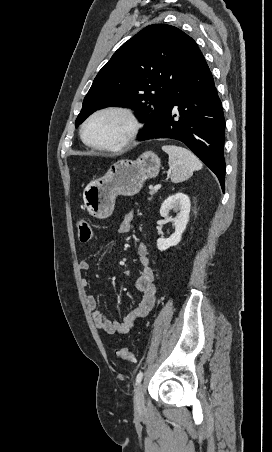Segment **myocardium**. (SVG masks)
Segmentation results:
<instances>
[{"label":"myocardium","mask_w":272,"mask_h":452,"mask_svg":"<svg viewBox=\"0 0 272 452\" xmlns=\"http://www.w3.org/2000/svg\"><path fill=\"white\" fill-rule=\"evenodd\" d=\"M107 113H116L120 114L126 118L129 124V128L125 137L117 144L105 145V144H97L92 143L86 138V129L89 123L96 117L107 114ZM140 130V122L135 116V114L128 108L122 106H106L100 109H97L93 113H91L86 120L83 122L80 130L81 138L83 142L89 147L102 151L109 152H118L126 147H128L137 137Z\"/></svg>","instance_id":"1"}]
</instances>
